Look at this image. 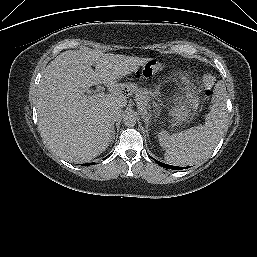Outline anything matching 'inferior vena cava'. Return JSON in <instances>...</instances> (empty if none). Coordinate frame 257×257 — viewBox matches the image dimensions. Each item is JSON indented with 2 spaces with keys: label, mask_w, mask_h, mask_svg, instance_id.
I'll return each mask as SVG.
<instances>
[{
  "label": "inferior vena cava",
  "mask_w": 257,
  "mask_h": 257,
  "mask_svg": "<svg viewBox=\"0 0 257 257\" xmlns=\"http://www.w3.org/2000/svg\"><path fill=\"white\" fill-rule=\"evenodd\" d=\"M121 116V112L118 110H113L108 112L107 118L111 123H114L116 120H118Z\"/></svg>",
  "instance_id": "602c4592"
}]
</instances>
